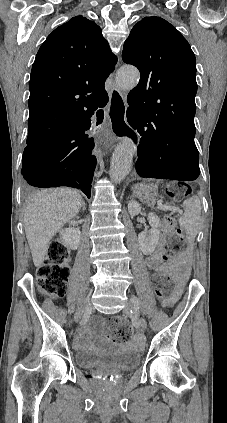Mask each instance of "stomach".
Returning a JSON list of instances; mask_svg holds the SVG:
<instances>
[{
	"label": "stomach",
	"mask_w": 227,
	"mask_h": 423,
	"mask_svg": "<svg viewBox=\"0 0 227 423\" xmlns=\"http://www.w3.org/2000/svg\"><path fill=\"white\" fill-rule=\"evenodd\" d=\"M133 190L137 198L147 200V202H153L158 194V188L157 186H153V184H137Z\"/></svg>",
	"instance_id": "1"
}]
</instances>
